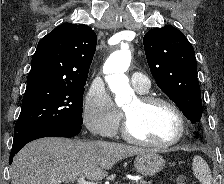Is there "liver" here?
Returning <instances> with one entry per match:
<instances>
[{"instance_id":"liver-1","label":"liver","mask_w":224,"mask_h":184,"mask_svg":"<svg viewBox=\"0 0 224 184\" xmlns=\"http://www.w3.org/2000/svg\"><path fill=\"white\" fill-rule=\"evenodd\" d=\"M149 150L107 141L47 137L23 147L10 167L11 184H60L104 179L116 162Z\"/></svg>"}]
</instances>
